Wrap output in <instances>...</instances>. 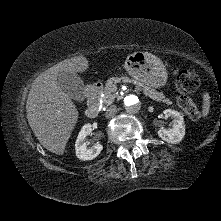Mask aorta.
<instances>
[{"instance_id": "obj_1", "label": "aorta", "mask_w": 221, "mask_h": 221, "mask_svg": "<svg viewBox=\"0 0 221 221\" xmlns=\"http://www.w3.org/2000/svg\"><path fill=\"white\" fill-rule=\"evenodd\" d=\"M124 105L131 111H136L140 107L139 98L136 95L130 94L124 98Z\"/></svg>"}]
</instances>
